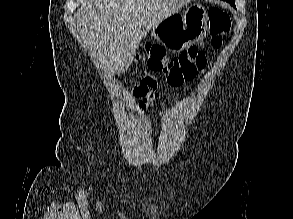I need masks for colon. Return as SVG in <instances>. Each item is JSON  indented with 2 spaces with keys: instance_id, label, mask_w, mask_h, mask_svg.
I'll return each instance as SVG.
<instances>
[{
  "instance_id": "obj_1",
  "label": "colon",
  "mask_w": 293,
  "mask_h": 219,
  "mask_svg": "<svg viewBox=\"0 0 293 219\" xmlns=\"http://www.w3.org/2000/svg\"><path fill=\"white\" fill-rule=\"evenodd\" d=\"M208 19L212 45L219 48L222 45L223 37L230 31V17L223 9L211 7L208 10ZM141 55L151 70L166 73L168 84L174 87L192 79L199 72H203L207 66L204 53L196 47L188 48L174 57H169L163 47L146 44L142 47Z\"/></svg>"
}]
</instances>
